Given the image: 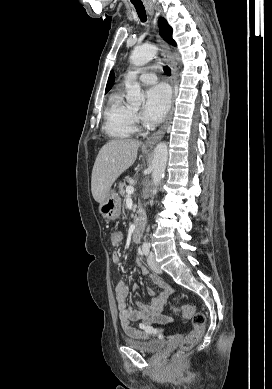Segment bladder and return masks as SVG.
Here are the masks:
<instances>
[{
	"label": "bladder",
	"instance_id": "bladder-1",
	"mask_svg": "<svg viewBox=\"0 0 272 389\" xmlns=\"http://www.w3.org/2000/svg\"><path fill=\"white\" fill-rule=\"evenodd\" d=\"M125 343L129 347L147 354H157L165 348V342L157 339L137 341L127 338Z\"/></svg>",
	"mask_w": 272,
	"mask_h": 389
}]
</instances>
